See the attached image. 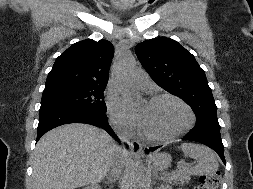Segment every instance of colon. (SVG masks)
Masks as SVG:
<instances>
[{
	"label": "colon",
	"mask_w": 253,
	"mask_h": 189,
	"mask_svg": "<svg viewBox=\"0 0 253 189\" xmlns=\"http://www.w3.org/2000/svg\"><path fill=\"white\" fill-rule=\"evenodd\" d=\"M221 180L220 172L204 174L199 179L196 189H217Z\"/></svg>",
	"instance_id": "colon-1"
}]
</instances>
